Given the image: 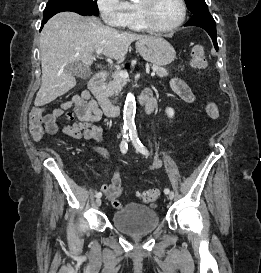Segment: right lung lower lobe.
Segmentation results:
<instances>
[{"instance_id":"right-lung-lower-lobe-1","label":"right lung lower lobe","mask_w":261,"mask_h":273,"mask_svg":"<svg viewBox=\"0 0 261 273\" xmlns=\"http://www.w3.org/2000/svg\"><path fill=\"white\" fill-rule=\"evenodd\" d=\"M72 12H76L80 15H90V13L87 11L86 7L80 3V2H76L75 5H72V8H71ZM51 17H44L43 16V22H42V25H41V28L43 27V25L50 19Z\"/></svg>"}]
</instances>
